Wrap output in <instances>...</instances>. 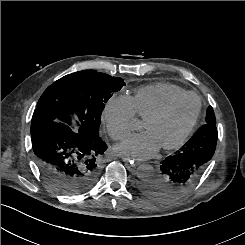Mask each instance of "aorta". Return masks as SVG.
<instances>
[{
  "mask_svg": "<svg viewBox=\"0 0 245 245\" xmlns=\"http://www.w3.org/2000/svg\"><path fill=\"white\" fill-rule=\"evenodd\" d=\"M137 175L143 180L151 179L154 176V168L149 164H142L137 169Z\"/></svg>",
  "mask_w": 245,
  "mask_h": 245,
  "instance_id": "762f6f07",
  "label": "aorta"
}]
</instances>
